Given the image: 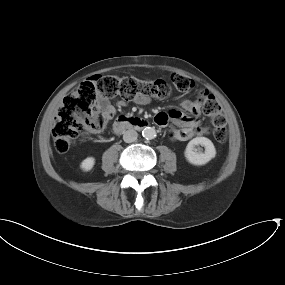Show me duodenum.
Returning <instances> with one entry per match:
<instances>
[{"label":"duodenum","instance_id":"duodenum-1","mask_svg":"<svg viewBox=\"0 0 285 285\" xmlns=\"http://www.w3.org/2000/svg\"><path fill=\"white\" fill-rule=\"evenodd\" d=\"M147 126L148 122L145 119L122 116L115 120L113 131L119 134L127 129L141 130Z\"/></svg>","mask_w":285,"mask_h":285}]
</instances>
